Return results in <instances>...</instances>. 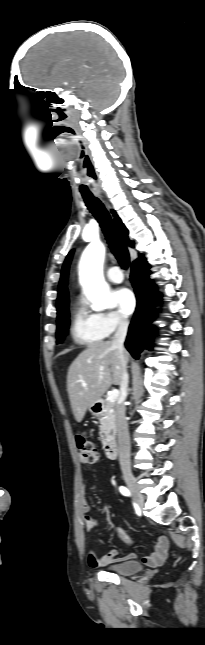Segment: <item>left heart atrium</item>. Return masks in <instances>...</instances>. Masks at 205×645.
Here are the masks:
<instances>
[{"mask_svg": "<svg viewBox=\"0 0 205 645\" xmlns=\"http://www.w3.org/2000/svg\"><path fill=\"white\" fill-rule=\"evenodd\" d=\"M115 302L124 315H130L136 306V299L133 292L128 288H121L114 293Z\"/></svg>", "mask_w": 205, "mask_h": 645, "instance_id": "obj_1", "label": "left heart atrium"}]
</instances>
